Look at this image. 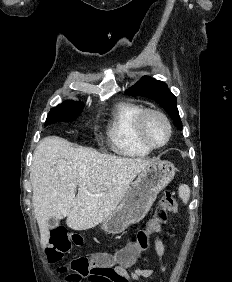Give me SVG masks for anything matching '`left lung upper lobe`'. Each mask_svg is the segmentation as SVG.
<instances>
[{"label":"left lung upper lobe","instance_id":"5c2ea615","mask_svg":"<svg viewBox=\"0 0 232 282\" xmlns=\"http://www.w3.org/2000/svg\"><path fill=\"white\" fill-rule=\"evenodd\" d=\"M126 94L130 96H143L154 100L167 111L176 127L179 130L182 129L177 109V99L164 82L143 76L139 82L126 91Z\"/></svg>","mask_w":232,"mask_h":282}]
</instances>
